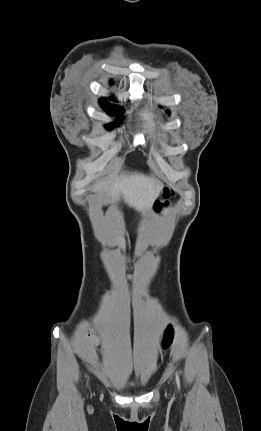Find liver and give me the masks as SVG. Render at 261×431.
Wrapping results in <instances>:
<instances>
[{"mask_svg":"<svg viewBox=\"0 0 261 431\" xmlns=\"http://www.w3.org/2000/svg\"><path fill=\"white\" fill-rule=\"evenodd\" d=\"M118 170L109 175L94 187V191L103 189L111 195V202L121 197L125 203L137 211H144L150 207L158 195L160 184L156 179L138 173H123L117 176Z\"/></svg>","mask_w":261,"mask_h":431,"instance_id":"6515ba94","label":"liver"}]
</instances>
